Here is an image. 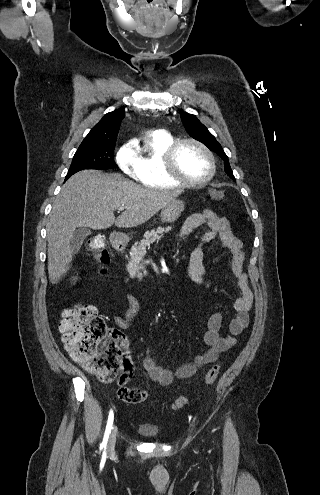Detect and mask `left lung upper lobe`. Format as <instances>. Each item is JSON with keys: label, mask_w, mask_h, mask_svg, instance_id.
<instances>
[{"label": "left lung upper lobe", "mask_w": 320, "mask_h": 495, "mask_svg": "<svg viewBox=\"0 0 320 495\" xmlns=\"http://www.w3.org/2000/svg\"><path fill=\"white\" fill-rule=\"evenodd\" d=\"M181 120L185 126L186 131L192 138L206 145L210 150L216 152L224 160L225 172L230 178L235 181V177L231 170L228 157L216 138L208 131V129L198 120L195 115L183 112L181 114Z\"/></svg>", "instance_id": "1"}]
</instances>
